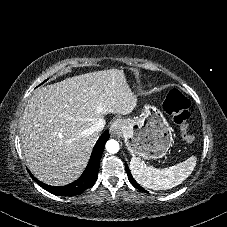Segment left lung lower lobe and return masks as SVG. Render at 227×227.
Segmentation results:
<instances>
[{"label": "left lung lower lobe", "instance_id": "left-lung-lower-lobe-1", "mask_svg": "<svg viewBox=\"0 0 227 227\" xmlns=\"http://www.w3.org/2000/svg\"><path fill=\"white\" fill-rule=\"evenodd\" d=\"M125 167H126V172H127V175H128V179H129V181L132 183V185H133L134 187H136L137 189H139V190H141V191H143V192H145V193H148L146 190H144V189H143V188L134 180V178L132 177V175H131V173H130V170H129L127 164L125 165Z\"/></svg>", "mask_w": 227, "mask_h": 227}]
</instances>
